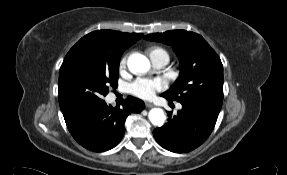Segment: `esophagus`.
I'll return each mask as SVG.
<instances>
[{"instance_id": "34e87169", "label": "esophagus", "mask_w": 287, "mask_h": 175, "mask_svg": "<svg viewBox=\"0 0 287 175\" xmlns=\"http://www.w3.org/2000/svg\"><path fill=\"white\" fill-rule=\"evenodd\" d=\"M145 105H146V107H148V108H152V107L154 106V104L151 103V102H145Z\"/></svg>"}]
</instances>
